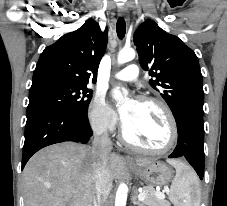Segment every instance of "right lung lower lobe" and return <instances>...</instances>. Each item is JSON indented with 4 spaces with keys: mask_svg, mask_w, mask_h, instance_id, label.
Wrapping results in <instances>:
<instances>
[{
    "mask_svg": "<svg viewBox=\"0 0 227 206\" xmlns=\"http://www.w3.org/2000/svg\"><path fill=\"white\" fill-rule=\"evenodd\" d=\"M92 134L86 114L37 110L27 115L21 169L43 147L65 141L87 143Z\"/></svg>",
    "mask_w": 227,
    "mask_h": 206,
    "instance_id": "obj_1",
    "label": "right lung lower lobe"
}]
</instances>
